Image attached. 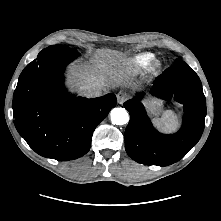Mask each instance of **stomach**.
Here are the masks:
<instances>
[{"label":"stomach","mask_w":221,"mask_h":221,"mask_svg":"<svg viewBox=\"0 0 221 221\" xmlns=\"http://www.w3.org/2000/svg\"><path fill=\"white\" fill-rule=\"evenodd\" d=\"M147 106L149 111L154 115L159 114L163 110V105L159 101L151 100L147 102Z\"/></svg>","instance_id":"1"}]
</instances>
